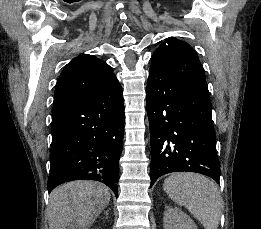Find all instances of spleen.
<instances>
[{
    "mask_svg": "<svg viewBox=\"0 0 261 229\" xmlns=\"http://www.w3.org/2000/svg\"><path fill=\"white\" fill-rule=\"evenodd\" d=\"M163 187L169 199L186 207L204 229H218L223 201L213 181L197 173H170Z\"/></svg>",
    "mask_w": 261,
    "mask_h": 229,
    "instance_id": "1",
    "label": "spleen"
}]
</instances>
